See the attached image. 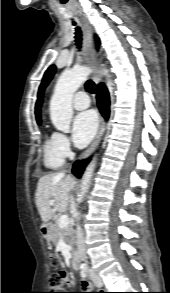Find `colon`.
<instances>
[{"instance_id": "obj_1", "label": "colon", "mask_w": 170, "mask_h": 293, "mask_svg": "<svg viewBox=\"0 0 170 293\" xmlns=\"http://www.w3.org/2000/svg\"><path fill=\"white\" fill-rule=\"evenodd\" d=\"M50 261L54 268V271L52 272L49 279L53 292L49 293H63L59 291H61V289L64 288L65 285L68 283V275L65 270L59 268V262L56 257H51Z\"/></svg>"}]
</instances>
